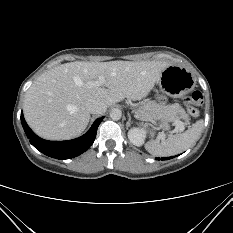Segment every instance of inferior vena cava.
I'll use <instances>...</instances> for the list:
<instances>
[{"mask_svg":"<svg viewBox=\"0 0 233 233\" xmlns=\"http://www.w3.org/2000/svg\"><path fill=\"white\" fill-rule=\"evenodd\" d=\"M86 109L91 114H102L107 110V105L99 100H89L86 103Z\"/></svg>","mask_w":233,"mask_h":233,"instance_id":"inferior-vena-cava-1","label":"inferior vena cava"}]
</instances>
